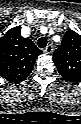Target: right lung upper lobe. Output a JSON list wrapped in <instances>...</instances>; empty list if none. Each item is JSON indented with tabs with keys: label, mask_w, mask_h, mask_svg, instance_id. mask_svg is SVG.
Instances as JSON below:
<instances>
[{
	"label": "right lung upper lobe",
	"mask_w": 81,
	"mask_h": 124,
	"mask_svg": "<svg viewBox=\"0 0 81 124\" xmlns=\"http://www.w3.org/2000/svg\"><path fill=\"white\" fill-rule=\"evenodd\" d=\"M20 29L14 27L0 39V76L12 83L26 79L42 54L31 39L21 36Z\"/></svg>",
	"instance_id": "obj_1"
}]
</instances>
